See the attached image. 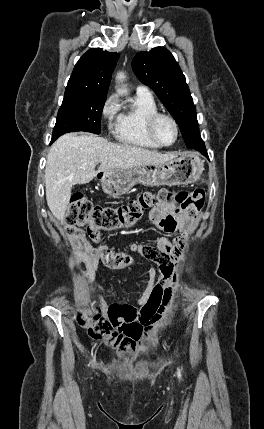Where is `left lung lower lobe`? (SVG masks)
<instances>
[{"instance_id": "0a47b994", "label": "left lung lower lobe", "mask_w": 264, "mask_h": 429, "mask_svg": "<svg viewBox=\"0 0 264 429\" xmlns=\"http://www.w3.org/2000/svg\"><path fill=\"white\" fill-rule=\"evenodd\" d=\"M196 150H199L202 154L206 155V150L202 149V148H198Z\"/></svg>"}]
</instances>
